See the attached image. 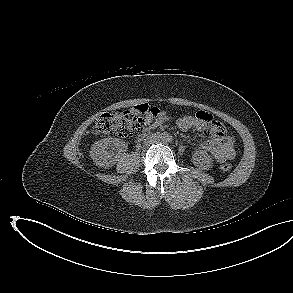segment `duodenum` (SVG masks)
I'll use <instances>...</instances> for the list:
<instances>
[{"label":"duodenum","instance_id":"1","mask_svg":"<svg viewBox=\"0 0 293 293\" xmlns=\"http://www.w3.org/2000/svg\"><path fill=\"white\" fill-rule=\"evenodd\" d=\"M144 134H141L137 137V140H141L143 138Z\"/></svg>","mask_w":293,"mask_h":293}]
</instances>
